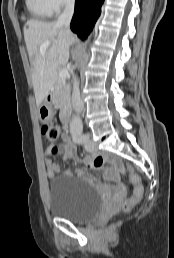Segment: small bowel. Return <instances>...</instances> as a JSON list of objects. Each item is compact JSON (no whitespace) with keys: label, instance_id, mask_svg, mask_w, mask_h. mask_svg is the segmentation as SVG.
<instances>
[{"label":"small bowel","instance_id":"c3829d8e","mask_svg":"<svg viewBox=\"0 0 174 258\" xmlns=\"http://www.w3.org/2000/svg\"><path fill=\"white\" fill-rule=\"evenodd\" d=\"M61 152L64 160H69L75 157V145L71 142L69 137L64 134L62 136V144L57 148L49 147L46 150L48 155L56 154ZM84 163L90 170H101L104 166H108L105 171L107 178L116 180L120 172L123 171L120 160L115 156H102L97 152H92L85 157ZM47 175L50 179H54L60 170V165L51 160H46ZM137 175V174H136Z\"/></svg>","mask_w":174,"mask_h":258}]
</instances>
